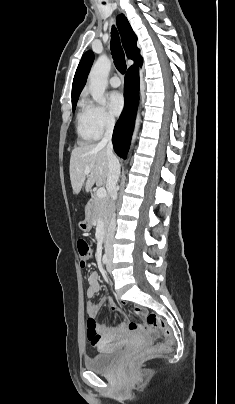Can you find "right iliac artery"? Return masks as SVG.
Wrapping results in <instances>:
<instances>
[{
	"instance_id": "obj_1",
	"label": "right iliac artery",
	"mask_w": 235,
	"mask_h": 404,
	"mask_svg": "<svg viewBox=\"0 0 235 404\" xmlns=\"http://www.w3.org/2000/svg\"><path fill=\"white\" fill-rule=\"evenodd\" d=\"M102 261H103L104 264L107 263V255L106 254L103 255Z\"/></svg>"
}]
</instances>
